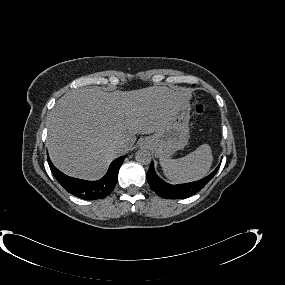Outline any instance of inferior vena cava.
<instances>
[{"label":"inferior vena cava","instance_id":"1","mask_svg":"<svg viewBox=\"0 0 285 285\" xmlns=\"http://www.w3.org/2000/svg\"><path fill=\"white\" fill-rule=\"evenodd\" d=\"M123 146V143L121 142V143H119V144H117V148H121Z\"/></svg>","mask_w":285,"mask_h":285}]
</instances>
